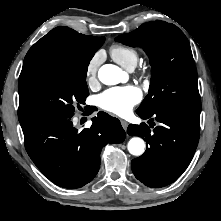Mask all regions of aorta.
Segmentation results:
<instances>
[{"label":"aorta","instance_id":"762f6f07","mask_svg":"<svg viewBox=\"0 0 221 221\" xmlns=\"http://www.w3.org/2000/svg\"><path fill=\"white\" fill-rule=\"evenodd\" d=\"M122 70L112 64L103 65L98 72L99 80L105 85H115L120 82ZM145 142L139 137H133L128 142V151L134 156H140L144 153Z\"/></svg>","mask_w":221,"mask_h":221}]
</instances>
